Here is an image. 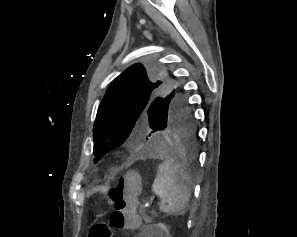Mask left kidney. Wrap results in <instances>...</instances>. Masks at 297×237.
Returning <instances> with one entry per match:
<instances>
[{
    "label": "left kidney",
    "instance_id": "5707ae66",
    "mask_svg": "<svg viewBox=\"0 0 297 237\" xmlns=\"http://www.w3.org/2000/svg\"><path fill=\"white\" fill-rule=\"evenodd\" d=\"M154 230L156 237H168L169 235L167 227L162 223L156 224Z\"/></svg>",
    "mask_w": 297,
    "mask_h": 237
}]
</instances>
